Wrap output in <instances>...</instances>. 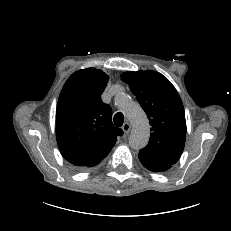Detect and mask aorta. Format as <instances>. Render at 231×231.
Instances as JSON below:
<instances>
[{"instance_id": "762f6f07", "label": "aorta", "mask_w": 231, "mask_h": 231, "mask_svg": "<svg viewBox=\"0 0 231 231\" xmlns=\"http://www.w3.org/2000/svg\"><path fill=\"white\" fill-rule=\"evenodd\" d=\"M117 104L124 109L132 124V132L129 138L130 146L135 150L144 148L150 137V125L145 112L140 105L132 102L127 95L119 96Z\"/></svg>"}]
</instances>
